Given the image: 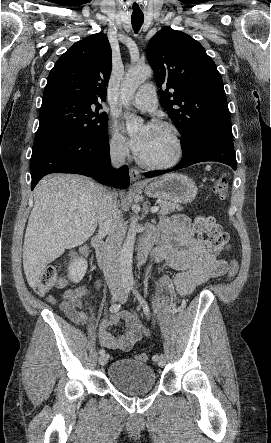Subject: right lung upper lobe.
Returning <instances> with one entry per match:
<instances>
[{"label":"right lung upper lobe","mask_w":271,"mask_h":443,"mask_svg":"<svg viewBox=\"0 0 271 443\" xmlns=\"http://www.w3.org/2000/svg\"><path fill=\"white\" fill-rule=\"evenodd\" d=\"M111 47L105 34L91 35L71 46L55 63L42 103L73 99L100 105L106 100Z\"/></svg>","instance_id":"obj_1"}]
</instances>
